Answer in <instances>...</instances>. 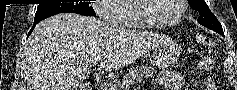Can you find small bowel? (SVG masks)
Returning a JSON list of instances; mask_svg holds the SVG:
<instances>
[{"label": "small bowel", "instance_id": "small-bowel-1", "mask_svg": "<svg viewBox=\"0 0 237 90\" xmlns=\"http://www.w3.org/2000/svg\"><path fill=\"white\" fill-rule=\"evenodd\" d=\"M200 68L203 72H210L212 65L211 63H202ZM155 81L164 90H187L184 89L185 79L178 72L163 70L156 76ZM205 90H215L211 79L206 80Z\"/></svg>", "mask_w": 237, "mask_h": 90}]
</instances>
